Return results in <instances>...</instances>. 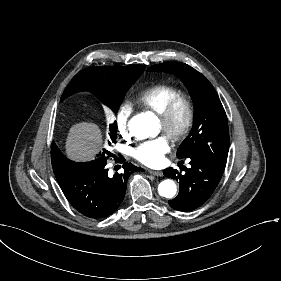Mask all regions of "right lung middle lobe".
<instances>
[{
  "instance_id": "obj_1",
  "label": "right lung middle lobe",
  "mask_w": 281,
  "mask_h": 281,
  "mask_svg": "<svg viewBox=\"0 0 281 281\" xmlns=\"http://www.w3.org/2000/svg\"><path fill=\"white\" fill-rule=\"evenodd\" d=\"M127 90L120 92L102 93L96 96L112 110L117 111ZM52 166L54 173H75L82 170L90 162L80 163L67 159L55 145L51 147Z\"/></svg>"
}]
</instances>
